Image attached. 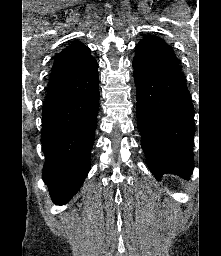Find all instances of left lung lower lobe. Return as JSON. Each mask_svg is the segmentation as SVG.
Here are the masks:
<instances>
[{"label": "left lung lower lobe", "instance_id": "1", "mask_svg": "<svg viewBox=\"0 0 221 256\" xmlns=\"http://www.w3.org/2000/svg\"><path fill=\"white\" fill-rule=\"evenodd\" d=\"M137 88V125L150 171L189 179L193 170L194 110L183 74L140 73Z\"/></svg>", "mask_w": 221, "mask_h": 256}]
</instances>
